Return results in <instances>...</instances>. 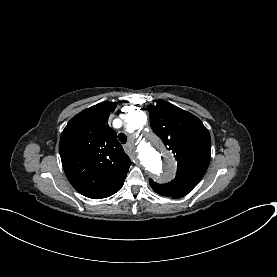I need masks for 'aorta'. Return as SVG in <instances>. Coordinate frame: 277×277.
Listing matches in <instances>:
<instances>
[{
	"label": "aorta",
	"instance_id": "aorta-1",
	"mask_svg": "<svg viewBox=\"0 0 277 277\" xmlns=\"http://www.w3.org/2000/svg\"><path fill=\"white\" fill-rule=\"evenodd\" d=\"M127 130L137 133L147 122L143 111L130 112L126 117ZM138 157L146 170L157 177L167 178L175 170L176 163L171 152L167 151L161 140L154 134H148L138 144Z\"/></svg>",
	"mask_w": 277,
	"mask_h": 277
}]
</instances>
